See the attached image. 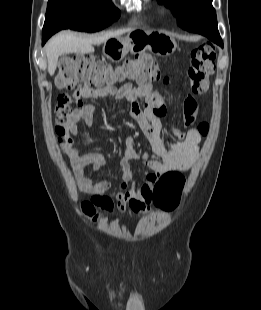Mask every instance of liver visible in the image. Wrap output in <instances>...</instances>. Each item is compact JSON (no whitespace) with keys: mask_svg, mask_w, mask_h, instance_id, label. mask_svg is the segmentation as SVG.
I'll return each mask as SVG.
<instances>
[{"mask_svg":"<svg viewBox=\"0 0 261 310\" xmlns=\"http://www.w3.org/2000/svg\"><path fill=\"white\" fill-rule=\"evenodd\" d=\"M134 28H126L114 32H107L101 36H77L71 32H64L52 37L46 46V55L48 60V73L52 76L55 73L58 58L62 54L69 53H93V45L105 43L111 38H117L124 33L134 31Z\"/></svg>","mask_w":261,"mask_h":310,"instance_id":"liver-1","label":"liver"}]
</instances>
